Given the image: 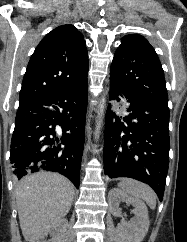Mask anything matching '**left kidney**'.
Masks as SVG:
<instances>
[{
    "label": "left kidney",
    "mask_w": 187,
    "mask_h": 242,
    "mask_svg": "<svg viewBox=\"0 0 187 242\" xmlns=\"http://www.w3.org/2000/svg\"><path fill=\"white\" fill-rule=\"evenodd\" d=\"M109 209L114 216H120L119 204L126 202L134 207L135 217L127 223L122 220L117 231L123 242H141L148 232L149 217L146 205L139 199L130 197L120 189L114 188L108 194Z\"/></svg>",
    "instance_id": "5707ae66"
}]
</instances>
